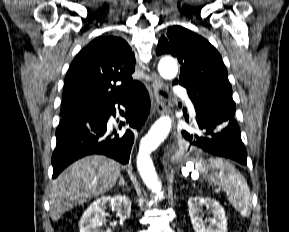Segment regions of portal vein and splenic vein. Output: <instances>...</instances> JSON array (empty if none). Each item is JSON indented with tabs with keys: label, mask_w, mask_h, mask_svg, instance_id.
<instances>
[{
	"label": "portal vein and splenic vein",
	"mask_w": 289,
	"mask_h": 232,
	"mask_svg": "<svg viewBox=\"0 0 289 232\" xmlns=\"http://www.w3.org/2000/svg\"><path fill=\"white\" fill-rule=\"evenodd\" d=\"M215 192L217 193L220 192V188L215 189Z\"/></svg>",
	"instance_id": "1"
}]
</instances>
